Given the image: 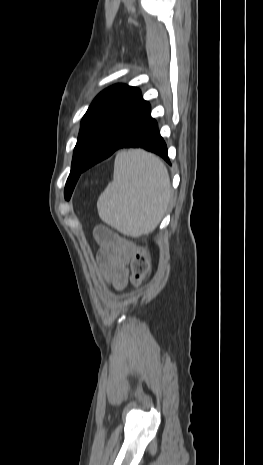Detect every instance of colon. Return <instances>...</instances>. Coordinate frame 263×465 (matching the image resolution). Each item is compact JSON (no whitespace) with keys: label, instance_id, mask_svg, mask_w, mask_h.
<instances>
[{"label":"colon","instance_id":"1","mask_svg":"<svg viewBox=\"0 0 263 465\" xmlns=\"http://www.w3.org/2000/svg\"><path fill=\"white\" fill-rule=\"evenodd\" d=\"M130 268V281L134 286H139L148 276L150 270L148 254L142 246H136L133 249Z\"/></svg>","mask_w":263,"mask_h":465}]
</instances>
